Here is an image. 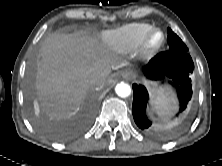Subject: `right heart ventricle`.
Segmentation results:
<instances>
[{"mask_svg": "<svg viewBox=\"0 0 222 166\" xmlns=\"http://www.w3.org/2000/svg\"><path fill=\"white\" fill-rule=\"evenodd\" d=\"M151 27L148 23H131L104 33V38L112 49L123 53L130 52L137 49Z\"/></svg>", "mask_w": 222, "mask_h": 166, "instance_id": "right-heart-ventricle-1", "label": "right heart ventricle"}]
</instances>
